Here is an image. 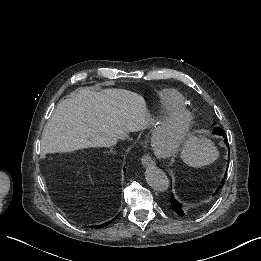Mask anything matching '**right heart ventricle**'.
Segmentation results:
<instances>
[{
    "label": "right heart ventricle",
    "instance_id": "1",
    "mask_svg": "<svg viewBox=\"0 0 261 261\" xmlns=\"http://www.w3.org/2000/svg\"><path fill=\"white\" fill-rule=\"evenodd\" d=\"M152 104V116L173 108H185V96L174 88H156L142 91Z\"/></svg>",
    "mask_w": 261,
    "mask_h": 261
}]
</instances>
